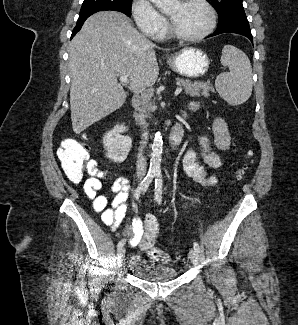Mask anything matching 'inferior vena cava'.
Returning a JSON list of instances; mask_svg holds the SVG:
<instances>
[{
  "instance_id": "602c4592",
  "label": "inferior vena cava",
  "mask_w": 298,
  "mask_h": 325,
  "mask_svg": "<svg viewBox=\"0 0 298 325\" xmlns=\"http://www.w3.org/2000/svg\"><path fill=\"white\" fill-rule=\"evenodd\" d=\"M148 130H143L142 132V138L139 146V152L136 160V175L138 179H144L146 173H147V163H146V158L144 154V148L147 144L148 140Z\"/></svg>"
}]
</instances>
